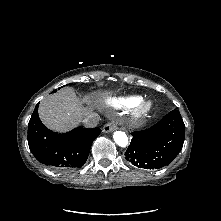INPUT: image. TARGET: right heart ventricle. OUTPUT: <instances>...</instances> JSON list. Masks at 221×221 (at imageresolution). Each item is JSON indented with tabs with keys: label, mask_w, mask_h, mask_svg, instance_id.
<instances>
[{
	"label": "right heart ventricle",
	"mask_w": 221,
	"mask_h": 221,
	"mask_svg": "<svg viewBox=\"0 0 221 221\" xmlns=\"http://www.w3.org/2000/svg\"><path fill=\"white\" fill-rule=\"evenodd\" d=\"M140 99L141 97L139 96L117 97V98H112L110 100V104L115 108L124 109V108H130Z\"/></svg>",
	"instance_id": "obj_1"
}]
</instances>
